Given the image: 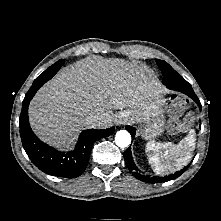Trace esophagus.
Masks as SVG:
<instances>
[{
	"label": "esophagus",
	"mask_w": 221,
	"mask_h": 221,
	"mask_svg": "<svg viewBox=\"0 0 221 221\" xmlns=\"http://www.w3.org/2000/svg\"><path fill=\"white\" fill-rule=\"evenodd\" d=\"M118 124H122V122L119 121Z\"/></svg>",
	"instance_id": "obj_1"
}]
</instances>
